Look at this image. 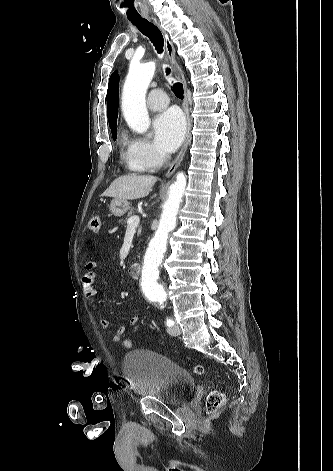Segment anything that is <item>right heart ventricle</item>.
I'll return each instance as SVG.
<instances>
[{
    "label": "right heart ventricle",
    "instance_id": "obj_1",
    "mask_svg": "<svg viewBox=\"0 0 333 471\" xmlns=\"http://www.w3.org/2000/svg\"><path fill=\"white\" fill-rule=\"evenodd\" d=\"M127 161H128V163H129V165H130V167H131L132 169H134L135 171H142V170L136 168V167L130 162V160H129V158H128V155H127Z\"/></svg>",
    "mask_w": 333,
    "mask_h": 471
}]
</instances>
